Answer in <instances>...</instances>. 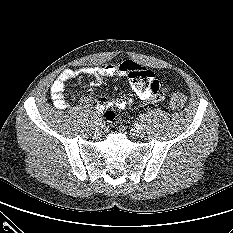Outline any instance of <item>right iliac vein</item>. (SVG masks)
Instances as JSON below:
<instances>
[{
  "mask_svg": "<svg viewBox=\"0 0 233 233\" xmlns=\"http://www.w3.org/2000/svg\"><path fill=\"white\" fill-rule=\"evenodd\" d=\"M94 123H95V129H96L97 131H99V130L102 129L103 124H102V121H101V120H95Z\"/></svg>",
  "mask_w": 233,
  "mask_h": 233,
  "instance_id": "63e3f726",
  "label": "right iliac vein"
}]
</instances>
